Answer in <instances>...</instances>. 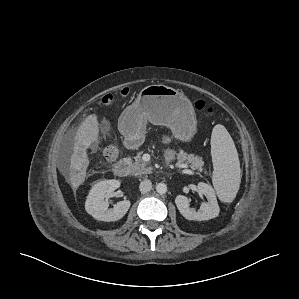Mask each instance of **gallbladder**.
<instances>
[{
	"mask_svg": "<svg viewBox=\"0 0 299 299\" xmlns=\"http://www.w3.org/2000/svg\"><path fill=\"white\" fill-rule=\"evenodd\" d=\"M103 123H104L105 129L108 130L109 129L108 124L105 121Z\"/></svg>",
	"mask_w": 299,
	"mask_h": 299,
	"instance_id": "gallbladder-1",
	"label": "gallbladder"
}]
</instances>
